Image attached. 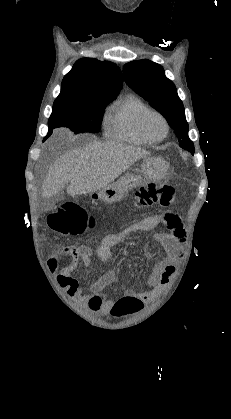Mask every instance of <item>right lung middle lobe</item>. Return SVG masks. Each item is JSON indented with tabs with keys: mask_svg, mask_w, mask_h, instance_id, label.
I'll list each match as a JSON object with an SVG mask.
<instances>
[{
	"mask_svg": "<svg viewBox=\"0 0 231 419\" xmlns=\"http://www.w3.org/2000/svg\"><path fill=\"white\" fill-rule=\"evenodd\" d=\"M112 100L71 99L58 96L54 101L53 112L48 120L49 131L45 139L57 127H68L76 134L99 132L105 107Z\"/></svg>",
	"mask_w": 231,
	"mask_h": 419,
	"instance_id": "1",
	"label": "right lung middle lobe"
}]
</instances>
